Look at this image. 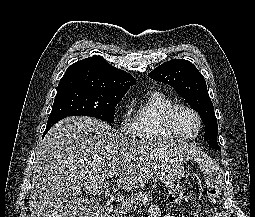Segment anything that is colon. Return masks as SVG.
Segmentation results:
<instances>
[{"instance_id":"1","label":"colon","mask_w":255,"mask_h":217,"mask_svg":"<svg viewBox=\"0 0 255 217\" xmlns=\"http://www.w3.org/2000/svg\"><path fill=\"white\" fill-rule=\"evenodd\" d=\"M207 194L211 203L217 202L220 195V189L215 182L208 183ZM169 198L172 203L184 202L187 198L186 189L182 185L173 186L170 190Z\"/></svg>"}]
</instances>
